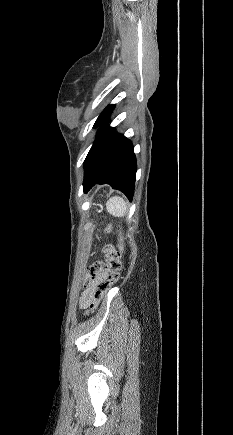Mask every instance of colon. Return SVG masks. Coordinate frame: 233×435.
I'll use <instances>...</instances> for the list:
<instances>
[{
	"instance_id": "5ec220e1",
	"label": "colon",
	"mask_w": 233,
	"mask_h": 435,
	"mask_svg": "<svg viewBox=\"0 0 233 435\" xmlns=\"http://www.w3.org/2000/svg\"><path fill=\"white\" fill-rule=\"evenodd\" d=\"M106 232L108 234L112 232L111 225L106 227ZM123 250L124 244L121 239L119 240L117 248L111 243H105L102 249L103 259L94 262L88 268L83 284L86 287L96 285L94 297L90 304V310H94L98 307L104 295L111 291L113 285L118 281ZM105 272L110 273L108 279L101 277Z\"/></svg>"
}]
</instances>
